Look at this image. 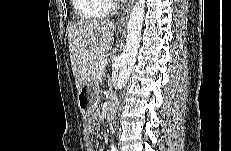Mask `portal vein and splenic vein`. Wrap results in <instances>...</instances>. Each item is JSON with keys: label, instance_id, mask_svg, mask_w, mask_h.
<instances>
[{"label": "portal vein and splenic vein", "instance_id": "obj_1", "mask_svg": "<svg viewBox=\"0 0 231 151\" xmlns=\"http://www.w3.org/2000/svg\"><path fill=\"white\" fill-rule=\"evenodd\" d=\"M108 64V61L107 60H102L101 63H100V66L101 68H105Z\"/></svg>", "mask_w": 231, "mask_h": 151}]
</instances>
